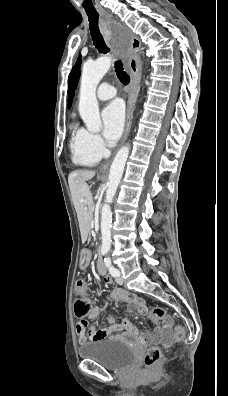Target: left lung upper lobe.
Returning a JSON list of instances; mask_svg holds the SVG:
<instances>
[{
    "label": "left lung upper lobe",
    "instance_id": "obj_1",
    "mask_svg": "<svg viewBox=\"0 0 228 396\" xmlns=\"http://www.w3.org/2000/svg\"><path fill=\"white\" fill-rule=\"evenodd\" d=\"M81 55L78 57V61L76 62L75 66L72 68V71L68 77V107L70 108L73 97L74 91L77 87L79 78H80V66H81Z\"/></svg>",
    "mask_w": 228,
    "mask_h": 396
}]
</instances>
